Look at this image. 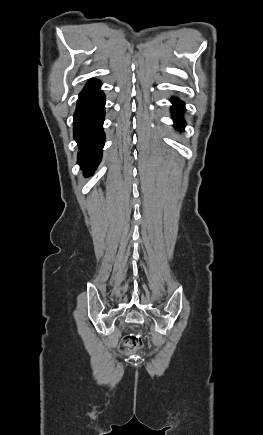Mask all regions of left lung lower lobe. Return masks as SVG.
Wrapping results in <instances>:
<instances>
[{"label": "left lung lower lobe", "instance_id": "obj_1", "mask_svg": "<svg viewBox=\"0 0 263 435\" xmlns=\"http://www.w3.org/2000/svg\"><path fill=\"white\" fill-rule=\"evenodd\" d=\"M171 102L173 103V108H172L173 117H172V119L175 122V127L177 129L181 130L185 126V122L182 118V113L184 110V103L176 98L172 99Z\"/></svg>", "mask_w": 263, "mask_h": 435}]
</instances>
